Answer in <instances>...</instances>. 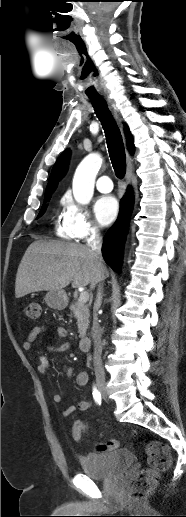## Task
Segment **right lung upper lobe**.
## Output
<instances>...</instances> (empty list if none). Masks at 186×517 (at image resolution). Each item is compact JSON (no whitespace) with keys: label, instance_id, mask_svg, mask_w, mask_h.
<instances>
[{"label":"right lung upper lobe","instance_id":"1","mask_svg":"<svg viewBox=\"0 0 186 517\" xmlns=\"http://www.w3.org/2000/svg\"><path fill=\"white\" fill-rule=\"evenodd\" d=\"M124 128H125L126 136H128V138H127L128 148L132 154L135 150L133 138L131 136L128 126L125 125ZM69 156H70V150L67 149L66 151H64L61 154V156L58 158V160L54 164L45 194H47L49 192H54V190L56 189V187L58 185V181H60V179L63 177V175L65 174V172L67 170Z\"/></svg>","mask_w":186,"mask_h":517}]
</instances>
